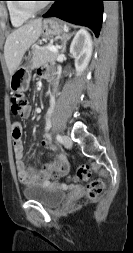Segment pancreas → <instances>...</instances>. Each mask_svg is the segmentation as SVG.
Masks as SVG:
<instances>
[{
  "label": "pancreas",
  "instance_id": "obj_1",
  "mask_svg": "<svg viewBox=\"0 0 133 253\" xmlns=\"http://www.w3.org/2000/svg\"><path fill=\"white\" fill-rule=\"evenodd\" d=\"M57 53L50 51L47 47L34 48L32 51L31 69L37 68L45 63L55 64Z\"/></svg>",
  "mask_w": 133,
  "mask_h": 253
}]
</instances>
